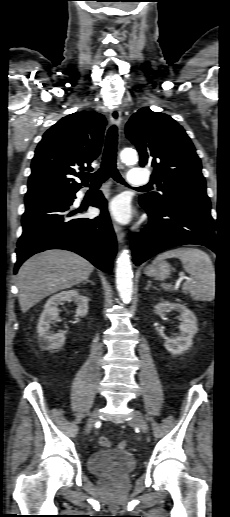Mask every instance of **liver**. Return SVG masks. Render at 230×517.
I'll return each instance as SVG.
<instances>
[{
	"label": "liver",
	"mask_w": 230,
	"mask_h": 517,
	"mask_svg": "<svg viewBox=\"0 0 230 517\" xmlns=\"http://www.w3.org/2000/svg\"><path fill=\"white\" fill-rule=\"evenodd\" d=\"M94 266L67 250H47L26 260L17 274L18 300L26 313L43 298L88 279Z\"/></svg>",
	"instance_id": "obj_1"
}]
</instances>
